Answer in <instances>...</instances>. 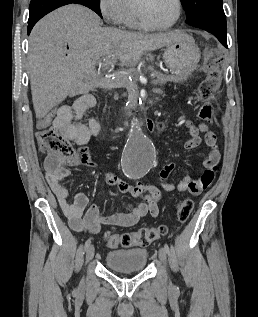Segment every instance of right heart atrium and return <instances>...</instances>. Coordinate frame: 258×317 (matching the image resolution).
Returning <instances> with one entry per match:
<instances>
[{
  "label": "right heart atrium",
  "mask_w": 258,
  "mask_h": 317,
  "mask_svg": "<svg viewBox=\"0 0 258 317\" xmlns=\"http://www.w3.org/2000/svg\"><path fill=\"white\" fill-rule=\"evenodd\" d=\"M99 11L107 26H123L126 15L125 0H100Z\"/></svg>",
  "instance_id": "1"
}]
</instances>
